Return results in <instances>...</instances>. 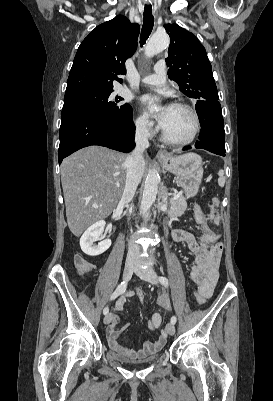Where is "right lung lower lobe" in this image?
<instances>
[{"label":"right lung lower lobe","mask_w":273,"mask_h":401,"mask_svg":"<svg viewBox=\"0 0 273 401\" xmlns=\"http://www.w3.org/2000/svg\"><path fill=\"white\" fill-rule=\"evenodd\" d=\"M134 135L132 111L127 122L90 114L62 119L59 163L73 152L90 145L105 146L127 153L134 147Z\"/></svg>","instance_id":"right-lung-lower-lobe-1"}]
</instances>
